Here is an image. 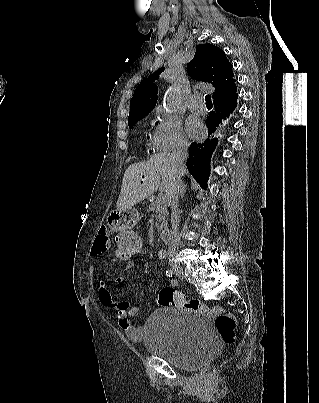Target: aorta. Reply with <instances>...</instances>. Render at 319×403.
<instances>
[{
    "mask_svg": "<svg viewBox=\"0 0 319 403\" xmlns=\"http://www.w3.org/2000/svg\"><path fill=\"white\" fill-rule=\"evenodd\" d=\"M178 105V89L175 86L170 87L164 98L163 107L168 113H173Z\"/></svg>",
    "mask_w": 319,
    "mask_h": 403,
    "instance_id": "obj_1",
    "label": "aorta"
}]
</instances>
